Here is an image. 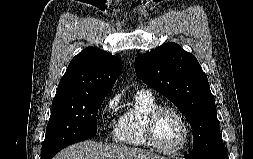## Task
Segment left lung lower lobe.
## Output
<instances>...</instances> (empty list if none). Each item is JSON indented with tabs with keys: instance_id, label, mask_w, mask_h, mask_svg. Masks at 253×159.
Masks as SVG:
<instances>
[{
	"instance_id": "left-lung-lower-lobe-1",
	"label": "left lung lower lobe",
	"mask_w": 253,
	"mask_h": 159,
	"mask_svg": "<svg viewBox=\"0 0 253 159\" xmlns=\"http://www.w3.org/2000/svg\"><path fill=\"white\" fill-rule=\"evenodd\" d=\"M186 159H196V157L191 153L185 157ZM209 159H228L225 145H221L216 148V151L212 157Z\"/></svg>"
}]
</instances>
